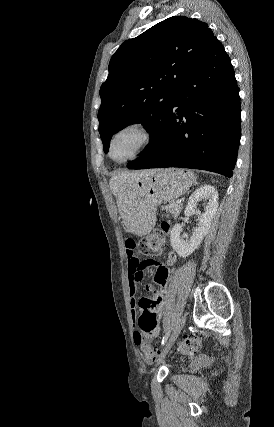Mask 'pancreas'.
Masks as SVG:
<instances>
[{
	"label": "pancreas",
	"instance_id": "cf45deb5",
	"mask_svg": "<svg viewBox=\"0 0 274 427\" xmlns=\"http://www.w3.org/2000/svg\"><path fill=\"white\" fill-rule=\"evenodd\" d=\"M163 210H167L170 214H173V217H177L182 210V204H175L173 200L169 202L168 206H162Z\"/></svg>",
	"mask_w": 274,
	"mask_h": 427
}]
</instances>
